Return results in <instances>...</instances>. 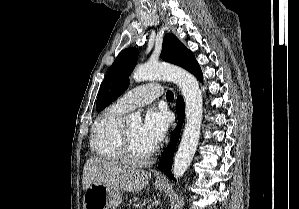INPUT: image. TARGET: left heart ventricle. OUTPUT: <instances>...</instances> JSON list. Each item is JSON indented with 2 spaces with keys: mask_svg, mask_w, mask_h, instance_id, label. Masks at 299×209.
Returning <instances> with one entry per match:
<instances>
[{
  "mask_svg": "<svg viewBox=\"0 0 299 209\" xmlns=\"http://www.w3.org/2000/svg\"><path fill=\"white\" fill-rule=\"evenodd\" d=\"M140 125L126 127L133 155L136 158H143L148 155L152 149L140 137Z\"/></svg>",
  "mask_w": 299,
  "mask_h": 209,
  "instance_id": "1",
  "label": "left heart ventricle"
}]
</instances>
